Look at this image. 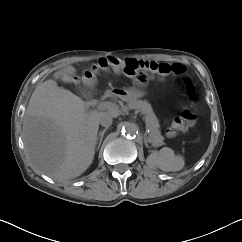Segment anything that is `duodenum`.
<instances>
[{
	"mask_svg": "<svg viewBox=\"0 0 242 242\" xmlns=\"http://www.w3.org/2000/svg\"><path fill=\"white\" fill-rule=\"evenodd\" d=\"M114 95V92H112V91H108V92H106L105 94H104V96L106 97V98H110V97H112Z\"/></svg>",
	"mask_w": 242,
	"mask_h": 242,
	"instance_id": "duodenum-1",
	"label": "duodenum"
}]
</instances>
